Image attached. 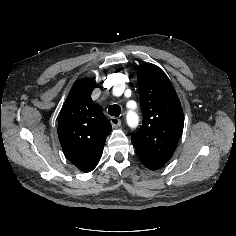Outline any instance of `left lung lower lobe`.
Returning <instances> with one entry per match:
<instances>
[{
    "instance_id": "left-lung-lower-lobe-1",
    "label": "left lung lower lobe",
    "mask_w": 236,
    "mask_h": 236,
    "mask_svg": "<svg viewBox=\"0 0 236 236\" xmlns=\"http://www.w3.org/2000/svg\"><path fill=\"white\" fill-rule=\"evenodd\" d=\"M141 162L151 170H158L160 169L166 162H163L158 159H154L142 154H137Z\"/></svg>"
}]
</instances>
